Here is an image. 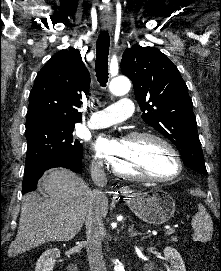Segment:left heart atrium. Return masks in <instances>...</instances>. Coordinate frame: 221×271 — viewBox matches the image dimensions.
I'll list each match as a JSON object with an SVG mask.
<instances>
[{
  "instance_id": "39dd6f15",
  "label": "left heart atrium",
  "mask_w": 221,
  "mask_h": 271,
  "mask_svg": "<svg viewBox=\"0 0 221 271\" xmlns=\"http://www.w3.org/2000/svg\"><path fill=\"white\" fill-rule=\"evenodd\" d=\"M97 145L101 157H137V152H131V148H120L121 142H106L105 138H99Z\"/></svg>"
}]
</instances>
